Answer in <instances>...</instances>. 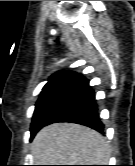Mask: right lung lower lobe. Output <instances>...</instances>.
I'll list each match as a JSON object with an SVG mask.
<instances>
[{"label":"right lung lower lobe","instance_id":"1","mask_svg":"<svg viewBox=\"0 0 135 166\" xmlns=\"http://www.w3.org/2000/svg\"><path fill=\"white\" fill-rule=\"evenodd\" d=\"M68 89L72 95L69 107L51 123H78L103 133L104 124L99 117L94 91L89 86V81L83 79L70 85Z\"/></svg>","mask_w":135,"mask_h":166}]
</instances>
